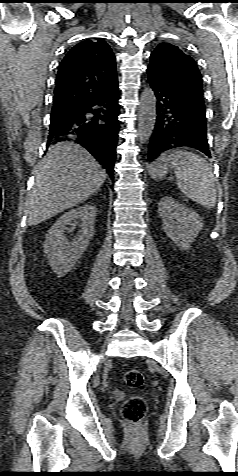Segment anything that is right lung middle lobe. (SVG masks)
Wrapping results in <instances>:
<instances>
[{"mask_svg": "<svg viewBox=\"0 0 238 476\" xmlns=\"http://www.w3.org/2000/svg\"><path fill=\"white\" fill-rule=\"evenodd\" d=\"M76 110L77 109H72V108L54 109L51 112V121L58 122L61 120H65L69 116L74 114Z\"/></svg>", "mask_w": 238, "mask_h": 476, "instance_id": "dd1d6c3e", "label": "right lung middle lobe"}]
</instances>
